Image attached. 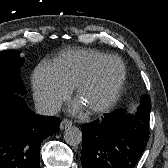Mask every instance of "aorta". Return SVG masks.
<instances>
[{
    "label": "aorta",
    "mask_w": 168,
    "mask_h": 168,
    "mask_svg": "<svg viewBox=\"0 0 168 168\" xmlns=\"http://www.w3.org/2000/svg\"><path fill=\"white\" fill-rule=\"evenodd\" d=\"M64 140L71 146H77L82 141V132L75 126L68 127L64 132Z\"/></svg>",
    "instance_id": "762f6f07"
}]
</instances>
